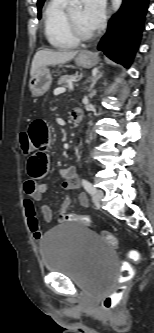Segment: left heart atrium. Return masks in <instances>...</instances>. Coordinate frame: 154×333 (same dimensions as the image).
Here are the masks:
<instances>
[{
	"mask_svg": "<svg viewBox=\"0 0 154 333\" xmlns=\"http://www.w3.org/2000/svg\"><path fill=\"white\" fill-rule=\"evenodd\" d=\"M105 0H83L81 17L83 23L91 30L97 29L103 20Z\"/></svg>",
	"mask_w": 154,
	"mask_h": 333,
	"instance_id": "1",
	"label": "left heart atrium"
}]
</instances>
